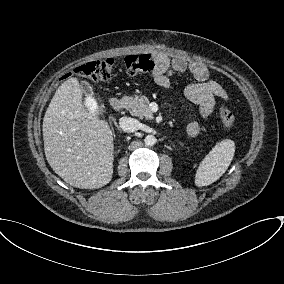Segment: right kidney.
<instances>
[{"label": "right kidney", "instance_id": "obj_1", "mask_svg": "<svg viewBox=\"0 0 284 284\" xmlns=\"http://www.w3.org/2000/svg\"><path fill=\"white\" fill-rule=\"evenodd\" d=\"M86 105H87L88 107H91V106H92V99H91L90 97L87 99Z\"/></svg>", "mask_w": 284, "mask_h": 284}]
</instances>
